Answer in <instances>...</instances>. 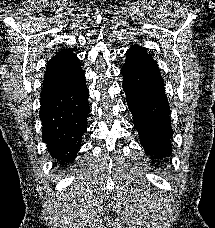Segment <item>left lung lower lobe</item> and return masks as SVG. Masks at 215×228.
<instances>
[{
    "label": "left lung lower lobe",
    "mask_w": 215,
    "mask_h": 228,
    "mask_svg": "<svg viewBox=\"0 0 215 228\" xmlns=\"http://www.w3.org/2000/svg\"><path fill=\"white\" fill-rule=\"evenodd\" d=\"M123 89L134 127L147 156L162 160L172 151V127L164 81L146 49L130 48L121 69ZM159 163V162H158Z\"/></svg>",
    "instance_id": "0a47b994"
}]
</instances>
